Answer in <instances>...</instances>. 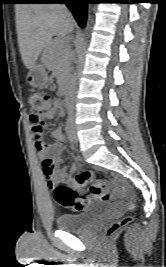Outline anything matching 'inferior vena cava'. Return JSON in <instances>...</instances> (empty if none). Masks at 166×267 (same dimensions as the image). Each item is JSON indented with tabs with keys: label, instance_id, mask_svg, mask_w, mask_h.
Returning <instances> with one entry per match:
<instances>
[{
	"label": "inferior vena cava",
	"instance_id": "obj_1",
	"mask_svg": "<svg viewBox=\"0 0 166 267\" xmlns=\"http://www.w3.org/2000/svg\"><path fill=\"white\" fill-rule=\"evenodd\" d=\"M62 7L67 10L65 5H62ZM75 89H76V76H75V72H73V75L71 78V84H70V96L72 97V99H73Z\"/></svg>",
	"mask_w": 166,
	"mask_h": 267
}]
</instances>
